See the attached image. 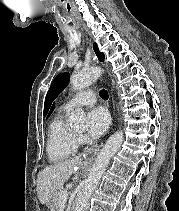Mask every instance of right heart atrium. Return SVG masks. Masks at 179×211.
Segmentation results:
<instances>
[{"mask_svg":"<svg viewBox=\"0 0 179 211\" xmlns=\"http://www.w3.org/2000/svg\"><path fill=\"white\" fill-rule=\"evenodd\" d=\"M77 142L82 143L84 141V136L83 135H77Z\"/></svg>","mask_w":179,"mask_h":211,"instance_id":"d8ad5b80","label":"right heart atrium"}]
</instances>
